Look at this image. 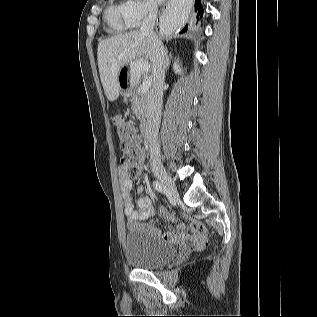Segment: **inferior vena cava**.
I'll list each match as a JSON object with an SVG mask.
<instances>
[{"label": "inferior vena cava", "instance_id": "obj_1", "mask_svg": "<svg viewBox=\"0 0 317 317\" xmlns=\"http://www.w3.org/2000/svg\"><path fill=\"white\" fill-rule=\"evenodd\" d=\"M158 7L148 5V16L143 20L140 33L145 35L152 44V77L153 83L147 95V127L145 138L150 152L153 169L161 166L158 132L161 120L163 86L165 80L166 58L165 49L154 32Z\"/></svg>", "mask_w": 317, "mask_h": 317}]
</instances>
